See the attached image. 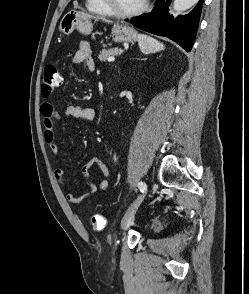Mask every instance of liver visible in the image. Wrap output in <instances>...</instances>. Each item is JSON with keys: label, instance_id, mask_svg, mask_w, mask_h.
Wrapping results in <instances>:
<instances>
[{"label": "liver", "instance_id": "1", "mask_svg": "<svg viewBox=\"0 0 249 294\" xmlns=\"http://www.w3.org/2000/svg\"><path fill=\"white\" fill-rule=\"evenodd\" d=\"M84 15H86V14H84ZM86 16L90 17L89 15H86ZM90 18H91V17H90Z\"/></svg>", "mask_w": 249, "mask_h": 294}]
</instances>
